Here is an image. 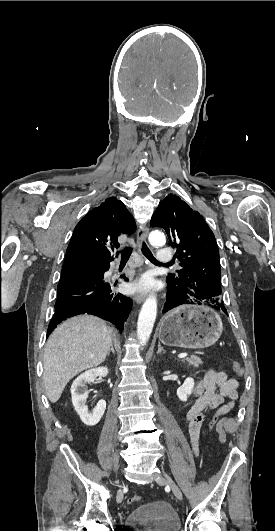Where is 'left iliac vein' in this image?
Here are the masks:
<instances>
[{
    "mask_svg": "<svg viewBox=\"0 0 275 531\" xmlns=\"http://www.w3.org/2000/svg\"><path fill=\"white\" fill-rule=\"evenodd\" d=\"M157 483L158 484L164 483V484L170 486V488L172 489L173 494L180 501H182V499H183L182 492H181L180 488L177 486V484L173 481V479L170 476H168L167 474H165L164 477L163 476H159L158 479H157Z\"/></svg>",
    "mask_w": 275,
    "mask_h": 531,
    "instance_id": "1",
    "label": "left iliac vein"
}]
</instances>
